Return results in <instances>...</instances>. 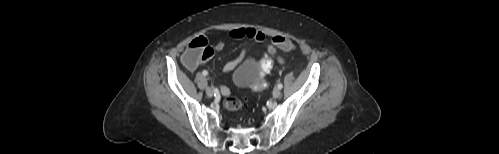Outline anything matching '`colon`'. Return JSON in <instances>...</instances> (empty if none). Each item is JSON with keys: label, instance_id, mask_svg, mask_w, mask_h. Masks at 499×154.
<instances>
[{"label": "colon", "instance_id": "colon-1", "mask_svg": "<svg viewBox=\"0 0 499 154\" xmlns=\"http://www.w3.org/2000/svg\"><path fill=\"white\" fill-rule=\"evenodd\" d=\"M273 43L283 51H291L294 45L290 39L284 36H275ZM214 55V49L209 44L208 40L202 36L193 39L187 46L183 54V62L189 68L196 67L201 61L208 60ZM260 75L256 82L252 85V89L256 92H263L267 89V84L263 80V76L269 73L273 66V61L270 58L264 57L260 59ZM245 105V102L233 97H228L225 101V106L229 110H238Z\"/></svg>", "mask_w": 499, "mask_h": 154}]
</instances>
